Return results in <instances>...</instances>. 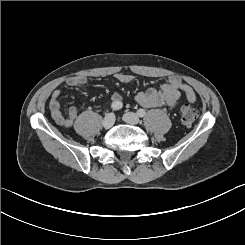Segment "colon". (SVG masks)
<instances>
[{
	"label": "colon",
	"instance_id": "5ec220e1",
	"mask_svg": "<svg viewBox=\"0 0 245 245\" xmlns=\"http://www.w3.org/2000/svg\"><path fill=\"white\" fill-rule=\"evenodd\" d=\"M197 118V111L189 103H184L181 107V120L183 124L191 126Z\"/></svg>",
	"mask_w": 245,
	"mask_h": 245
}]
</instances>
